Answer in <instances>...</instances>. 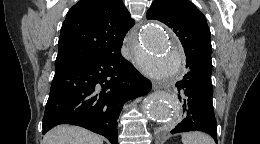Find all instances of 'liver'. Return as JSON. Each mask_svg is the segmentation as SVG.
Returning <instances> with one entry per match:
<instances>
[{
	"label": "liver",
	"instance_id": "liver-1",
	"mask_svg": "<svg viewBox=\"0 0 260 144\" xmlns=\"http://www.w3.org/2000/svg\"><path fill=\"white\" fill-rule=\"evenodd\" d=\"M43 144H103V139L81 127L59 125L46 133Z\"/></svg>",
	"mask_w": 260,
	"mask_h": 144
}]
</instances>
